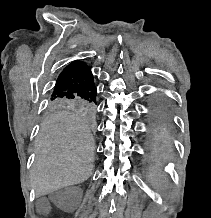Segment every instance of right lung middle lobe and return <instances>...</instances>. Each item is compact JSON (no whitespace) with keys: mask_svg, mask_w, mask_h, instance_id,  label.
<instances>
[{"mask_svg":"<svg viewBox=\"0 0 211 218\" xmlns=\"http://www.w3.org/2000/svg\"><path fill=\"white\" fill-rule=\"evenodd\" d=\"M96 105L97 102H93L79 97H50L48 100V109L51 111L83 110L92 113L95 111Z\"/></svg>","mask_w":211,"mask_h":218,"instance_id":"1","label":"right lung middle lobe"}]
</instances>
